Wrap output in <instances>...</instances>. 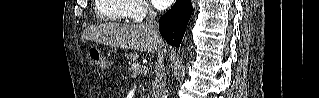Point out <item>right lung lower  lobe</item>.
<instances>
[{
  "label": "right lung lower lobe",
  "instance_id": "1",
  "mask_svg": "<svg viewBox=\"0 0 319 98\" xmlns=\"http://www.w3.org/2000/svg\"><path fill=\"white\" fill-rule=\"evenodd\" d=\"M191 14V0H176L174 6L160 18V33L170 45L179 47Z\"/></svg>",
  "mask_w": 319,
  "mask_h": 98
}]
</instances>
